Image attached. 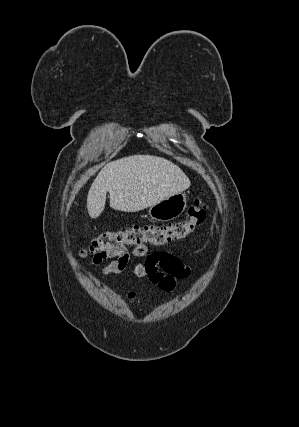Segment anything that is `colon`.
Instances as JSON below:
<instances>
[{"instance_id": "obj_1", "label": "colon", "mask_w": 299, "mask_h": 427, "mask_svg": "<svg viewBox=\"0 0 299 427\" xmlns=\"http://www.w3.org/2000/svg\"><path fill=\"white\" fill-rule=\"evenodd\" d=\"M207 204L196 198L184 221L166 225L131 226L105 231L96 236L89 246L80 252L81 257L92 256L95 262L113 257L130 246H162L190 235L206 218Z\"/></svg>"}]
</instances>
